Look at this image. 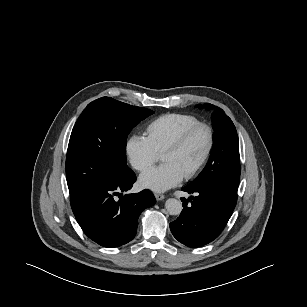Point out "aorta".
I'll list each match as a JSON object with an SVG mask.
<instances>
[{
	"label": "aorta",
	"instance_id": "aorta-1",
	"mask_svg": "<svg viewBox=\"0 0 307 307\" xmlns=\"http://www.w3.org/2000/svg\"><path fill=\"white\" fill-rule=\"evenodd\" d=\"M165 208L170 215H179L183 209L182 202L175 198H169L165 202Z\"/></svg>",
	"mask_w": 307,
	"mask_h": 307
}]
</instances>
